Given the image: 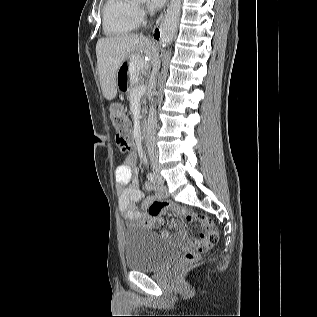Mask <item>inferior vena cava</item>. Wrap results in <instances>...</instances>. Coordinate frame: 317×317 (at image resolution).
Masks as SVG:
<instances>
[{"mask_svg": "<svg viewBox=\"0 0 317 317\" xmlns=\"http://www.w3.org/2000/svg\"><path fill=\"white\" fill-rule=\"evenodd\" d=\"M159 69H160V60H159L158 53L155 51L152 77H155L157 75ZM156 126H157L156 111L152 106L150 107L148 121H147L146 146L148 149V155H149L153 169H156L158 166V151H157L156 141H155Z\"/></svg>", "mask_w": 317, "mask_h": 317, "instance_id": "602c4592", "label": "inferior vena cava"}]
</instances>
